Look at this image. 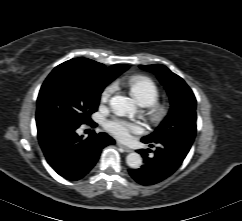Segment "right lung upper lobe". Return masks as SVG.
Returning a JSON list of instances; mask_svg holds the SVG:
<instances>
[{
	"instance_id": "cb5924a9",
	"label": "right lung upper lobe",
	"mask_w": 242,
	"mask_h": 221,
	"mask_svg": "<svg viewBox=\"0 0 242 221\" xmlns=\"http://www.w3.org/2000/svg\"><path fill=\"white\" fill-rule=\"evenodd\" d=\"M127 67L124 64H116L107 68L103 64L87 58H75L58 65L52 72L64 71L78 77L88 79L104 78L112 81Z\"/></svg>"
}]
</instances>
